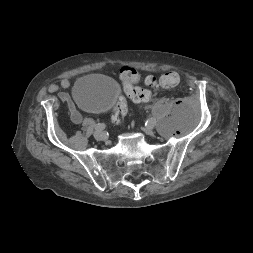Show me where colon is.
<instances>
[{
    "label": "colon",
    "mask_w": 253,
    "mask_h": 253,
    "mask_svg": "<svg viewBox=\"0 0 253 253\" xmlns=\"http://www.w3.org/2000/svg\"><path fill=\"white\" fill-rule=\"evenodd\" d=\"M120 78L123 84L124 92L134 102H146L151 98V91L147 88L136 87L135 84L140 80L138 71L132 67H123L120 70ZM180 82V76L175 71H169L161 75L158 79L147 77L145 83L149 87L161 86L163 88H174ZM128 110L127 102L124 97H120L115 106L112 115L114 123H120Z\"/></svg>",
    "instance_id": "obj_1"
}]
</instances>
